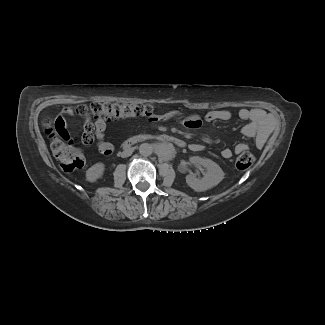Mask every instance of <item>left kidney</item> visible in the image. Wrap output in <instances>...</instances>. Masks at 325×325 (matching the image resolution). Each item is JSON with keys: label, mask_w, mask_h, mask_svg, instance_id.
<instances>
[{"label": "left kidney", "mask_w": 325, "mask_h": 325, "mask_svg": "<svg viewBox=\"0 0 325 325\" xmlns=\"http://www.w3.org/2000/svg\"><path fill=\"white\" fill-rule=\"evenodd\" d=\"M191 164L201 165L205 168L202 178H196L193 174L186 176V183L196 192H203L217 186L224 179V172L220 166L208 158L193 156L189 159Z\"/></svg>", "instance_id": "1"}]
</instances>
